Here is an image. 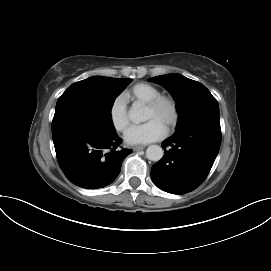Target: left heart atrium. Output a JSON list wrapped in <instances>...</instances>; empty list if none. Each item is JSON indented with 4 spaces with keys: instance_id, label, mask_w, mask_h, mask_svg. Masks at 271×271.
<instances>
[{
    "instance_id": "obj_1",
    "label": "left heart atrium",
    "mask_w": 271,
    "mask_h": 271,
    "mask_svg": "<svg viewBox=\"0 0 271 271\" xmlns=\"http://www.w3.org/2000/svg\"><path fill=\"white\" fill-rule=\"evenodd\" d=\"M166 128L158 121L151 119L144 124L131 126L124 134L128 144H147L163 138Z\"/></svg>"
}]
</instances>
